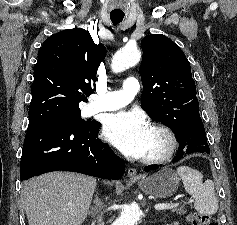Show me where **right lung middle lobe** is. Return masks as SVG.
Wrapping results in <instances>:
<instances>
[{
    "label": "right lung middle lobe",
    "instance_id": "1",
    "mask_svg": "<svg viewBox=\"0 0 237 225\" xmlns=\"http://www.w3.org/2000/svg\"><path fill=\"white\" fill-rule=\"evenodd\" d=\"M80 112H74V113H68V114H61V115H57L54 117H51L49 119H46L44 121H52V122H57V123H62V124H66L69 126H72L74 128L77 129H81V128H89L92 127L96 124V122L92 121H84L82 120V118L80 117Z\"/></svg>",
    "mask_w": 237,
    "mask_h": 225
}]
</instances>
